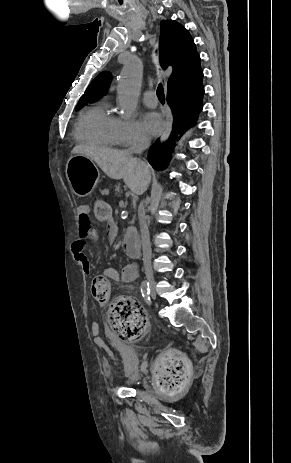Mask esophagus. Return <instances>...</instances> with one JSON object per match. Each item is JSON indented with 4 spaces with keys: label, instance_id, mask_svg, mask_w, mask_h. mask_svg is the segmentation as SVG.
I'll return each instance as SVG.
<instances>
[{
    "label": "esophagus",
    "instance_id": "obj_1",
    "mask_svg": "<svg viewBox=\"0 0 291 463\" xmlns=\"http://www.w3.org/2000/svg\"><path fill=\"white\" fill-rule=\"evenodd\" d=\"M170 130H171V125L170 123H167L166 129L161 134V140H165L168 137Z\"/></svg>",
    "mask_w": 291,
    "mask_h": 463
}]
</instances>
